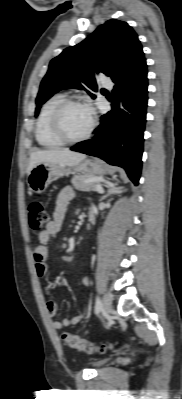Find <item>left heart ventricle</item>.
I'll return each instance as SVG.
<instances>
[{
    "mask_svg": "<svg viewBox=\"0 0 182 399\" xmlns=\"http://www.w3.org/2000/svg\"><path fill=\"white\" fill-rule=\"evenodd\" d=\"M90 125V114L86 107L73 105L68 107L62 115V126L71 138L83 135Z\"/></svg>",
    "mask_w": 182,
    "mask_h": 399,
    "instance_id": "b2bd125f",
    "label": "left heart ventricle"
}]
</instances>
